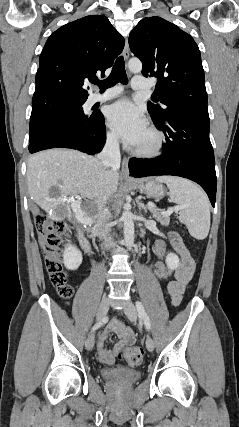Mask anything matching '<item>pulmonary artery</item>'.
Masks as SVG:
<instances>
[{"label":"pulmonary artery","instance_id":"pulmonary-artery-1","mask_svg":"<svg viewBox=\"0 0 239 427\" xmlns=\"http://www.w3.org/2000/svg\"><path fill=\"white\" fill-rule=\"evenodd\" d=\"M152 85L142 76H134L132 80V88L137 91H147L150 90ZM122 92V88L120 86H115L113 88L108 89L104 93H98L90 96L88 103L90 105L95 104L97 102H103L117 97Z\"/></svg>","mask_w":239,"mask_h":427}]
</instances>
